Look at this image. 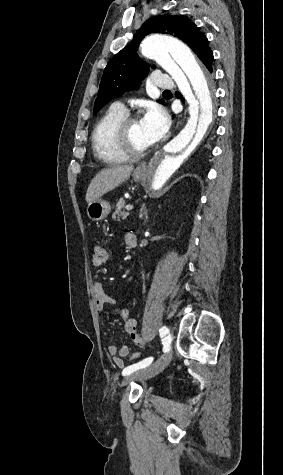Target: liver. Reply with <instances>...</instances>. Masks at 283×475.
I'll list each match as a JSON object with an SVG mask.
<instances>
[{"instance_id": "6515ba94", "label": "liver", "mask_w": 283, "mask_h": 475, "mask_svg": "<svg viewBox=\"0 0 283 475\" xmlns=\"http://www.w3.org/2000/svg\"><path fill=\"white\" fill-rule=\"evenodd\" d=\"M132 170H134V166H119V164L101 170L88 186L86 202L88 204L89 202H95L107 192H111V190L123 184L125 180H128Z\"/></svg>"}]
</instances>
